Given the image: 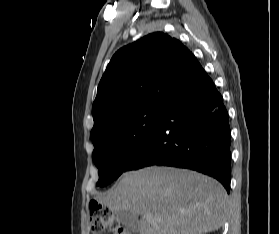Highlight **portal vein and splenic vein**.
<instances>
[{
	"label": "portal vein and splenic vein",
	"mask_w": 279,
	"mask_h": 234,
	"mask_svg": "<svg viewBox=\"0 0 279 234\" xmlns=\"http://www.w3.org/2000/svg\"><path fill=\"white\" fill-rule=\"evenodd\" d=\"M146 219H147L149 222H151V223L154 222V219H153L152 215H150V214H147V215H146Z\"/></svg>",
	"instance_id": "portal-vein-and-splenic-vein-1"
}]
</instances>
